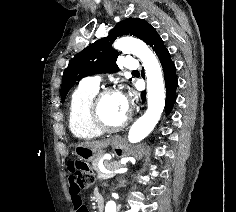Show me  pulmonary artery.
Segmentation results:
<instances>
[{
  "mask_svg": "<svg viewBox=\"0 0 236 212\" xmlns=\"http://www.w3.org/2000/svg\"><path fill=\"white\" fill-rule=\"evenodd\" d=\"M138 67H139V62L137 60L129 59L126 61V68L128 70L134 71L138 69ZM83 83L88 86L98 87L100 84V78L97 76L88 77L84 79Z\"/></svg>",
  "mask_w": 236,
  "mask_h": 212,
  "instance_id": "1",
  "label": "pulmonary artery"
}]
</instances>
